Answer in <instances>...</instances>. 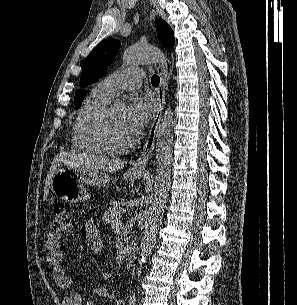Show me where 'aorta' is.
Here are the masks:
<instances>
[{
  "mask_svg": "<svg viewBox=\"0 0 297 305\" xmlns=\"http://www.w3.org/2000/svg\"><path fill=\"white\" fill-rule=\"evenodd\" d=\"M164 59L165 57L159 49L149 45L131 46L125 50L123 55L124 62L129 65L158 63L163 62ZM173 126V111L168 106L160 119L156 132V176L150 197V206L146 214L139 266L136 272L138 277L141 275L147 257L154 248L168 197L173 152Z\"/></svg>",
  "mask_w": 297,
  "mask_h": 305,
  "instance_id": "aorta-1",
  "label": "aorta"
}]
</instances>
